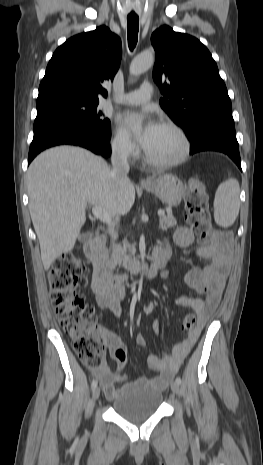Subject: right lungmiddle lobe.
I'll return each mask as SVG.
<instances>
[{
  "label": "right lung middle lobe",
  "mask_w": 263,
  "mask_h": 465,
  "mask_svg": "<svg viewBox=\"0 0 263 465\" xmlns=\"http://www.w3.org/2000/svg\"><path fill=\"white\" fill-rule=\"evenodd\" d=\"M98 99L58 96L37 101L34 132L56 125L83 127L97 134L110 132V121L97 110Z\"/></svg>",
  "instance_id": "obj_1"
}]
</instances>
